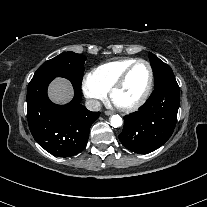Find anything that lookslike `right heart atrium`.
I'll list each match as a JSON object with an SVG mask.
<instances>
[{
	"mask_svg": "<svg viewBox=\"0 0 207 207\" xmlns=\"http://www.w3.org/2000/svg\"><path fill=\"white\" fill-rule=\"evenodd\" d=\"M82 89L86 97L92 102L94 106L98 105V102L105 99L106 91L102 89L91 77L87 75L82 81Z\"/></svg>",
	"mask_w": 207,
	"mask_h": 207,
	"instance_id": "d8ad5b80",
	"label": "right heart atrium"
}]
</instances>
